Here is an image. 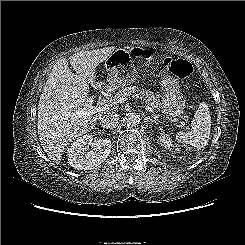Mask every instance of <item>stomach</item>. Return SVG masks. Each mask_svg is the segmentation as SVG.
<instances>
[{"label":"stomach","instance_id":"stomach-1","mask_svg":"<svg viewBox=\"0 0 245 245\" xmlns=\"http://www.w3.org/2000/svg\"><path fill=\"white\" fill-rule=\"evenodd\" d=\"M131 58L130 51L120 48L106 59L107 82L111 89L126 87L136 81L137 71ZM160 85L164 90L161 111L172 117L180 115L184 111L185 100L180 91L178 79L172 75H164L160 80Z\"/></svg>","mask_w":245,"mask_h":245}]
</instances>
